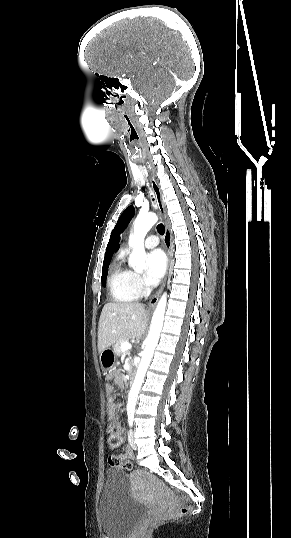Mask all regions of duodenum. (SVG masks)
Wrapping results in <instances>:
<instances>
[{
	"instance_id": "1",
	"label": "duodenum",
	"mask_w": 291,
	"mask_h": 538,
	"mask_svg": "<svg viewBox=\"0 0 291 538\" xmlns=\"http://www.w3.org/2000/svg\"><path fill=\"white\" fill-rule=\"evenodd\" d=\"M128 377H129V380H130V382H128V387H133V382L132 381H133L134 377H136V374H134L133 372H130L128 374Z\"/></svg>"
}]
</instances>
